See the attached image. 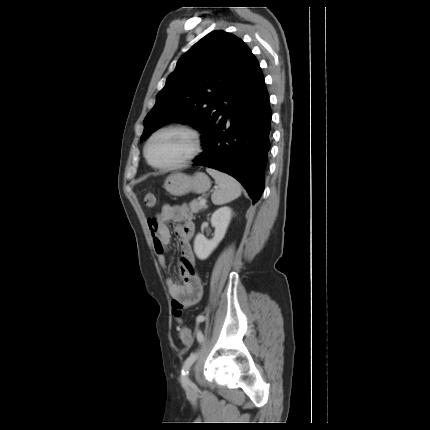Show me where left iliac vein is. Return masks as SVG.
I'll return each mask as SVG.
<instances>
[{
	"label": "left iliac vein",
	"mask_w": 430,
	"mask_h": 430,
	"mask_svg": "<svg viewBox=\"0 0 430 430\" xmlns=\"http://www.w3.org/2000/svg\"><path fill=\"white\" fill-rule=\"evenodd\" d=\"M189 386H190L191 388H194V384H193L192 382H190V383H189Z\"/></svg>",
	"instance_id": "1"
}]
</instances>
